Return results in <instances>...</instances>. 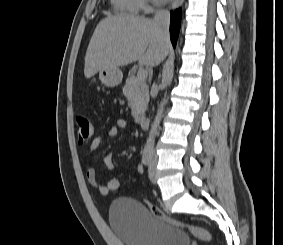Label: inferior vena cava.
<instances>
[{"instance_id":"602c4592","label":"inferior vena cava","mask_w":283,"mask_h":245,"mask_svg":"<svg viewBox=\"0 0 283 245\" xmlns=\"http://www.w3.org/2000/svg\"><path fill=\"white\" fill-rule=\"evenodd\" d=\"M154 22L161 27L164 35L169 38V22H170L169 11L157 10L154 16ZM152 157L155 158L153 154Z\"/></svg>"}]
</instances>
